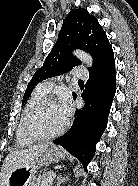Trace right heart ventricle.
I'll list each match as a JSON object with an SVG mask.
<instances>
[{"label": "right heart ventricle", "instance_id": "1", "mask_svg": "<svg viewBox=\"0 0 138 186\" xmlns=\"http://www.w3.org/2000/svg\"><path fill=\"white\" fill-rule=\"evenodd\" d=\"M48 92H46L41 84L36 88V90L34 91V93L32 94V96L30 97L23 113L21 116V119L19 121L17 130H16V144L19 147H26L29 146L31 144H33L35 142V140H32L30 138H28L23 131V121L24 118L26 116V114L28 113V111L35 105L37 104L39 101H41L42 99L47 97Z\"/></svg>", "mask_w": 138, "mask_h": 186}]
</instances>
